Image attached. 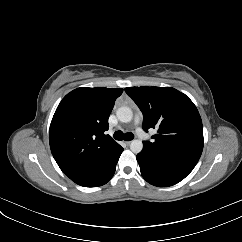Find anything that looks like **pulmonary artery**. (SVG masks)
Listing matches in <instances>:
<instances>
[{
    "label": "pulmonary artery",
    "instance_id": "1",
    "mask_svg": "<svg viewBox=\"0 0 242 242\" xmlns=\"http://www.w3.org/2000/svg\"><path fill=\"white\" fill-rule=\"evenodd\" d=\"M139 123H140V117H139V116H136V117H135V124L137 125L136 132H137V134H138L140 137H144V136H145V132H144V130H143L140 126H138Z\"/></svg>",
    "mask_w": 242,
    "mask_h": 242
}]
</instances>
